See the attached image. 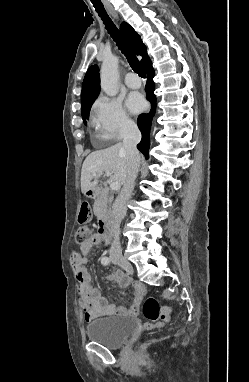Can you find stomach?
Here are the masks:
<instances>
[{
	"instance_id": "1",
	"label": "stomach",
	"mask_w": 249,
	"mask_h": 382,
	"mask_svg": "<svg viewBox=\"0 0 249 382\" xmlns=\"http://www.w3.org/2000/svg\"><path fill=\"white\" fill-rule=\"evenodd\" d=\"M85 195L87 198H92L94 196V192L92 191V189H87V191L85 192Z\"/></svg>"
}]
</instances>
